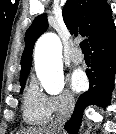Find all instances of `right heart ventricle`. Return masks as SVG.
Listing matches in <instances>:
<instances>
[{"label":"right heart ventricle","mask_w":116,"mask_h":134,"mask_svg":"<svg viewBox=\"0 0 116 134\" xmlns=\"http://www.w3.org/2000/svg\"><path fill=\"white\" fill-rule=\"evenodd\" d=\"M47 96L41 93L34 81H31L23 97L22 114L27 124L42 125L51 118Z\"/></svg>","instance_id":"obj_1"}]
</instances>
